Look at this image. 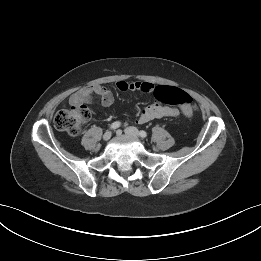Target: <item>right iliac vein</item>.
Wrapping results in <instances>:
<instances>
[{
	"instance_id": "obj_1",
	"label": "right iliac vein",
	"mask_w": 261,
	"mask_h": 261,
	"mask_svg": "<svg viewBox=\"0 0 261 261\" xmlns=\"http://www.w3.org/2000/svg\"><path fill=\"white\" fill-rule=\"evenodd\" d=\"M111 136H112L111 131H107L103 135V140L108 141L111 138Z\"/></svg>"
}]
</instances>
